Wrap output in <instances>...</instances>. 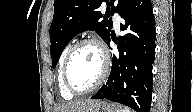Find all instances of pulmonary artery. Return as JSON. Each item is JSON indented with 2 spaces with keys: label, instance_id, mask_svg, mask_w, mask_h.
Returning <instances> with one entry per match:
<instances>
[{
  "label": "pulmonary artery",
  "instance_id": "obj_1",
  "mask_svg": "<svg viewBox=\"0 0 193 112\" xmlns=\"http://www.w3.org/2000/svg\"><path fill=\"white\" fill-rule=\"evenodd\" d=\"M113 21H114L115 27L118 28L121 21V17L117 13H115L113 15Z\"/></svg>",
  "mask_w": 193,
  "mask_h": 112
}]
</instances>
